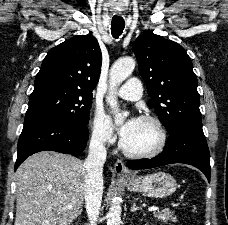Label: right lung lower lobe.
<instances>
[{
    "label": "right lung lower lobe",
    "instance_id": "1",
    "mask_svg": "<svg viewBox=\"0 0 228 225\" xmlns=\"http://www.w3.org/2000/svg\"><path fill=\"white\" fill-rule=\"evenodd\" d=\"M87 126L57 116H38L25 119L18 141V166L30 155L50 150L65 154H78L88 141Z\"/></svg>",
    "mask_w": 228,
    "mask_h": 225
}]
</instances>
